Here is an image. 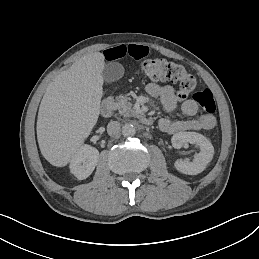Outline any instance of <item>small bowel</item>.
I'll return each instance as SVG.
<instances>
[{
  "label": "small bowel",
  "mask_w": 259,
  "mask_h": 259,
  "mask_svg": "<svg viewBox=\"0 0 259 259\" xmlns=\"http://www.w3.org/2000/svg\"><path fill=\"white\" fill-rule=\"evenodd\" d=\"M149 53L147 46L138 44H120L110 47L104 51V57L107 61H117L124 57H130L136 60L146 57ZM147 92L155 98H158L166 111L172 112L176 109L180 97L175 93L171 85H160L150 83L147 86ZM182 113L189 117L184 120H171L161 118L158 122L160 130L167 134H176L184 131L210 130L215 127L216 119L210 114H198V105L195 100L183 99L180 104Z\"/></svg>",
  "instance_id": "obj_1"
}]
</instances>
